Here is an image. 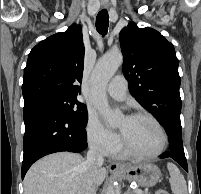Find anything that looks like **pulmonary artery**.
Returning <instances> with one entry per match:
<instances>
[{"label":"pulmonary artery","mask_w":201,"mask_h":194,"mask_svg":"<svg viewBox=\"0 0 201 194\" xmlns=\"http://www.w3.org/2000/svg\"><path fill=\"white\" fill-rule=\"evenodd\" d=\"M106 91L109 96L116 100H123L127 93V81L123 75L115 76L107 85Z\"/></svg>","instance_id":"pulmonary-artery-1"}]
</instances>
